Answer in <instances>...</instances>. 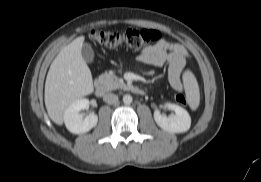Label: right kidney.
<instances>
[{"label": "right kidney", "instance_id": "right-kidney-1", "mask_svg": "<svg viewBox=\"0 0 261 182\" xmlns=\"http://www.w3.org/2000/svg\"><path fill=\"white\" fill-rule=\"evenodd\" d=\"M89 100L86 98L78 99L71 103L64 112L63 120L66 128L74 134H82L90 131L97 125L98 116L90 114L83 118L81 110L89 108Z\"/></svg>", "mask_w": 261, "mask_h": 182}]
</instances>
